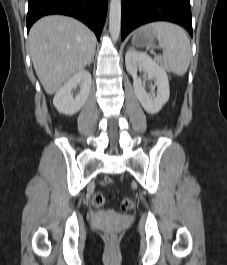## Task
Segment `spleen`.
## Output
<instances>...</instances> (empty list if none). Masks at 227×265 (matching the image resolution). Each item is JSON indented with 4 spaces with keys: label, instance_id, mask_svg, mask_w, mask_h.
Returning <instances> with one entry per match:
<instances>
[{
    "label": "spleen",
    "instance_id": "obj_1",
    "mask_svg": "<svg viewBox=\"0 0 227 265\" xmlns=\"http://www.w3.org/2000/svg\"><path fill=\"white\" fill-rule=\"evenodd\" d=\"M142 32L156 36L159 47L163 49V64L172 73L183 76L191 60V46L186 32L178 25L159 21L145 25Z\"/></svg>",
    "mask_w": 227,
    "mask_h": 265
}]
</instances>
